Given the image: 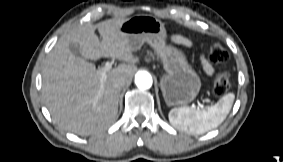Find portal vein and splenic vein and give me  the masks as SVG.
<instances>
[{"label": "portal vein and splenic vein", "instance_id": "1", "mask_svg": "<svg viewBox=\"0 0 283 162\" xmlns=\"http://www.w3.org/2000/svg\"><path fill=\"white\" fill-rule=\"evenodd\" d=\"M112 69V64L111 63H106L105 66L97 72L101 75L102 81L105 79L107 72H109Z\"/></svg>", "mask_w": 283, "mask_h": 162}]
</instances>
